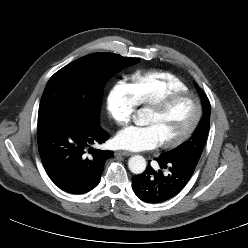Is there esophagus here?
<instances>
[{"label": "esophagus", "instance_id": "obj_1", "mask_svg": "<svg viewBox=\"0 0 248 248\" xmlns=\"http://www.w3.org/2000/svg\"><path fill=\"white\" fill-rule=\"evenodd\" d=\"M114 155H115V156H130L131 153L128 152V151H116V152L114 153Z\"/></svg>", "mask_w": 248, "mask_h": 248}]
</instances>
